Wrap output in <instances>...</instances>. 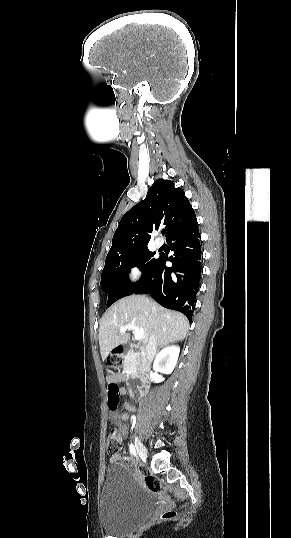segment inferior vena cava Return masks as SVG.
Returning a JSON list of instances; mask_svg holds the SVG:
<instances>
[{"label": "inferior vena cava", "mask_w": 291, "mask_h": 538, "mask_svg": "<svg viewBox=\"0 0 291 538\" xmlns=\"http://www.w3.org/2000/svg\"><path fill=\"white\" fill-rule=\"evenodd\" d=\"M156 346H157V344H156L155 336H154V334H152L151 337H150L149 342L146 345V349H145L149 363H151V361L153 360V358H154V356L156 354Z\"/></svg>", "instance_id": "inferior-vena-cava-1"}]
</instances>
